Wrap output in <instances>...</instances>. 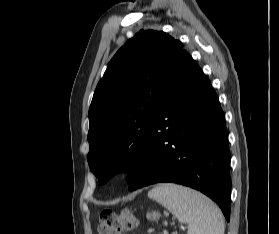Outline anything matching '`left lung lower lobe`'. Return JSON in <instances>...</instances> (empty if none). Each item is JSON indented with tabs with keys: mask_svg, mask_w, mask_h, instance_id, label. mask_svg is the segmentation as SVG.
Here are the masks:
<instances>
[{
	"mask_svg": "<svg viewBox=\"0 0 279 234\" xmlns=\"http://www.w3.org/2000/svg\"><path fill=\"white\" fill-rule=\"evenodd\" d=\"M225 116L210 81L183 50L155 110L147 149L129 190L174 182L213 199L230 220Z\"/></svg>",
	"mask_w": 279,
	"mask_h": 234,
	"instance_id": "0a47b994",
	"label": "left lung lower lobe"
}]
</instances>
